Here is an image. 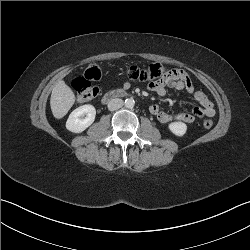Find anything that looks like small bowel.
<instances>
[{"label":"small bowel","instance_id":"obj_1","mask_svg":"<svg viewBox=\"0 0 250 250\" xmlns=\"http://www.w3.org/2000/svg\"><path fill=\"white\" fill-rule=\"evenodd\" d=\"M128 87V84H125ZM146 88L149 91L155 92L159 96H165L168 90L186 91L201 105L195 107L192 112L168 113L161 109L158 104L150 106V112L161 123L171 121H181L184 123H193L197 118L213 117L215 108L213 102L202 91L196 90L189 75L181 69H172L163 75L157 82L149 80L146 83Z\"/></svg>","mask_w":250,"mask_h":250}]
</instances>
